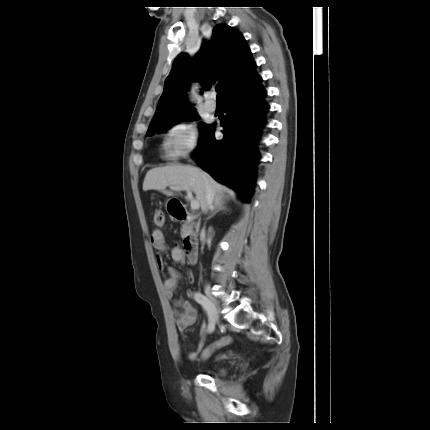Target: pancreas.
<instances>
[{
  "mask_svg": "<svg viewBox=\"0 0 430 430\" xmlns=\"http://www.w3.org/2000/svg\"><path fill=\"white\" fill-rule=\"evenodd\" d=\"M190 228V225H183V228L181 229V235L184 236Z\"/></svg>",
  "mask_w": 430,
  "mask_h": 430,
  "instance_id": "1",
  "label": "pancreas"
}]
</instances>
